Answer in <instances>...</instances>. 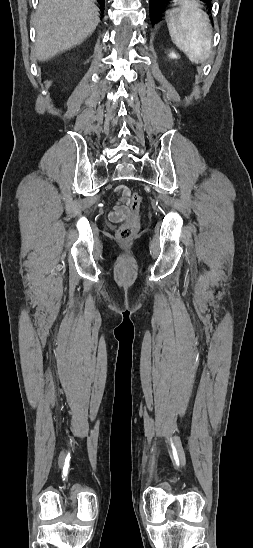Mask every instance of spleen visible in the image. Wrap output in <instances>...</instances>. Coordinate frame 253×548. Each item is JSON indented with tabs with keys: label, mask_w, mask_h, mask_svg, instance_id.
<instances>
[{
	"label": "spleen",
	"mask_w": 253,
	"mask_h": 548,
	"mask_svg": "<svg viewBox=\"0 0 253 548\" xmlns=\"http://www.w3.org/2000/svg\"><path fill=\"white\" fill-rule=\"evenodd\" d=\"M175 1H181L180 6L166 11L171 39L192 63H203L211 52L212 29L209 17L195 0Z\"/></svg>",
	"instance_id": "spleen-1"
}]
</instances>
